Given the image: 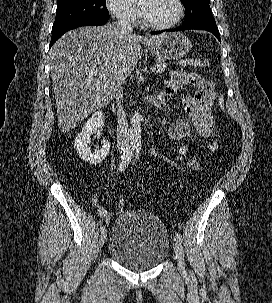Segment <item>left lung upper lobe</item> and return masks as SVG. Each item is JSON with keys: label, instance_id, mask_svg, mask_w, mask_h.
Masks as SVG:
<instances>
[{"label": "left lung upper lobe", "instance_id": "1", "mask_svg": "<svg viewBox=\"0 0 272 303\" xmlns=\"http://www.w3.org/2000/svg\"><path fill=\"white\" fill-rule=\"evenodd\" d=\"M185 6V19L182 26L215 23L209 6L210 0H182Z\"/></svg>", "mask_w": 272, "mask_h": 303}]
</instances>
